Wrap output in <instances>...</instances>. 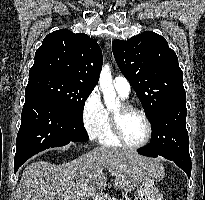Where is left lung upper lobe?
Instances as JSON below:
<instances>
[{"mask_svg": "<svg viewBox=\"0 0 205 200\" xmlns=\"http://www.w3.org/2000/svg\"><path fill=\"white\" fill-rule=\"evenodd\" d=\"M112 51L151 123L168 104L186 100L183 72L164 37L146 31L127 41L115 40Z\"/></svg>", "mask_w": 205, "mask_h": 200, "instance_id": "left-lung-upper-lobe-1", "label": "left lung upper lobe"}]
</instances>
